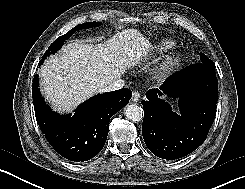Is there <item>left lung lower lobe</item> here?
<instances>
[{
    "label": "left lung lower lobe",
    "mask_w": 245,
    "mask_h": 189,
    "mask_svg": "<svg viewBox=\"0 0 245 189\" xmlns=\"http://www.w3.org/2000/svg\"><path fill=\"white\" fill-rule=\"evenodd\" d=\"M218 80L215 69L197 63L171 75L159 89L146 92L142 135L149 150L162 159L182 158L206 139L216 115ZM179 98L180 114L160 99Z\"/></svg>",
    "instance_id": "left-lung-lower-lobe-1"
}]
</instances>
